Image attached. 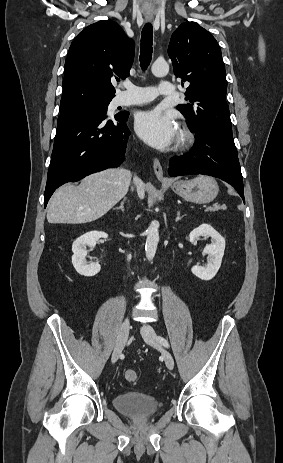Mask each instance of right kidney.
<instances>
[{
    "mask_svg": "<svg viewBox=\"0 0 283 463\" xmlns=\"http://www.w3.org/2000/svg\"><path fill=\"white\" fill-rule=\"evenodd\" d=\"M100 238L106 239L108 238V234L105 232L91 231L80 236L73 242L72 264L80 275L89 277L96 275L100 271L101 266L99 263L91 262L88 264L86 262L87 247L93 248Z\"/></svg>",
    "mask_w": 283,
    "mask_h": 463,
    "instance_id": "obj_1",
    "label": "right kidney"
}]
</instances>
